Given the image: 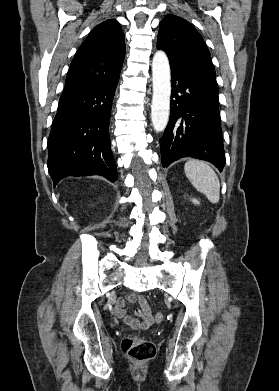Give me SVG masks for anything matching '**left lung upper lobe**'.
Segmentation results:
<instances>
[{
	"label": "left lung upper lobe",
	"mask_w": 279,
	"mask_h": 391,
	"mask_svg": "<svg viewBox=\"0 0 279 391\" xmlns=\"http://www.w3.org/2000/svg\"><path fill=\"white\" fill-rule=\"evenodd\" d=\"M157 48L166 52L171 69L188 74L218 92L210 52L188 21L175 15L164 17L160 22Z\"/></svg>",
	"instance_id": "1"
}]
</instances>
